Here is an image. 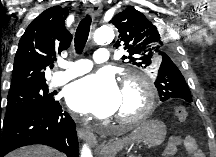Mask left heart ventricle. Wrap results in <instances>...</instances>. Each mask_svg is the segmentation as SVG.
I'll return each instance as SVG.
<instances>
[{
    "mask_svg": "<svg viewBox=\"0 0 216 157\" xmlns=\"http://www.w3.org/2000/svg\"><path fill=\"white\" fill-rule=\"evenodd\" d=\"M141 95L135 88H128L122 91L121 104L116 111V116H130L141 108Z\"/></svg>",
    "mask_w": 216,
    "mask_h": 157,
    "instance_id": "b2bd125f",
    "label": "left heart ventricle"
}]
</instances>
